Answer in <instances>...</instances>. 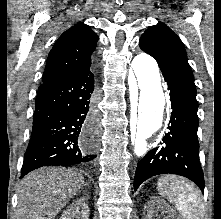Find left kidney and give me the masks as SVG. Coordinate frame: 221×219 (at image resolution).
I'll use <instances>...</instances> for the list:
<instances>
[{
	"label": "left kidney",
	"instance_id": "obj_1",
	"mask_svg": "<svg viewBox=\"0 0 221 219\" xmlns=\"http://www.w3.org/2000/svg\"><path fill=\"white\" fill-rule=\"evenodd\" d=\"M144 209V219H153V217L158 216V212H161L165 218L179 219L171 206L157 197H151L146 203Z\"/></svg>",
	"mask_w": 221,
	"mask_h": 219
}]
</instances>
